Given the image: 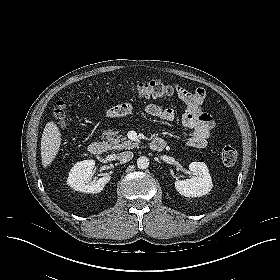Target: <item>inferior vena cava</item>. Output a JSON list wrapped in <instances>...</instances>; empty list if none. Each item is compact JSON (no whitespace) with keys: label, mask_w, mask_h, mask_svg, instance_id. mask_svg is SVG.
<instances>
[{"label":"inferior vena cava","mask_w":280,"mask_h":280,"mask_svg":"<svg viewBox=\"0 0 280 280\" xmlns=\"http://www.w3.org/2000/svg\"><path fill=\"white\" fill-rule=\"evenodd\" d=\"M133 158L132 151H125L118 154V160L125 163L130 161Z\"/></svg>","instance_id":"602c4592"}]
</instances>
